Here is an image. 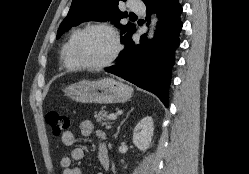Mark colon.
<instances>
[{
  "mask_svg": "<svg viewBox=\"0 0 249 174\" xmlns=\"http://www.w3.org/2000/svg\"><path fill=\"white\" fill-rule=\"evenodd\" d=\"M46 122L49 125L53 135L57 137L68 132L70 127V120L68 116L56 110H52L47 113Z\"/></svg>",
  "mask_w": 249,
  "mask_h": 174,
  "instance_id": "obj_1",
  "label": "colon"
}]
</instances>
